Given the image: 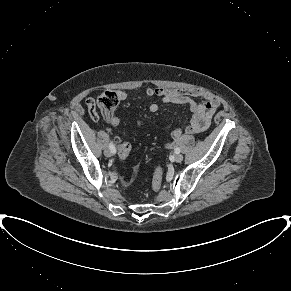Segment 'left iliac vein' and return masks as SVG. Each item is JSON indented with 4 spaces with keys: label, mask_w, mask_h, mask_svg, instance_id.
Returning a JSON list of instances; mask_svg holds the SVG:
<instances>
[{
    "label": "left iliac vein",
    "mask_w": 291,
    "mask_h": 291,
    "mask_svg": "<svg viewBox=\"0 0 291 291\" xmlns=\"http://www.w3.org/2000/svg\"><path fill=\"white\" fill-rule=\"evenodd\" d=\"M174 160L177 162V163H180L183 161V155L177 153L175 154V157H174Z\"/></svg>",
    "instance_id": "obj_1"
}]
</instances>
